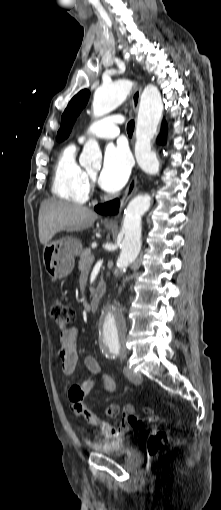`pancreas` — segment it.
I'll return each mask as SVG.
<instances>
[{
  "instance_id": "1",
  "label": "pancreas",
  "mask_w": 221,
  "mask_h": 510,
  "mask_svg": "<svg viewBox=\"0 0 221 510\" xmlns=\"http://www.w3.org/2000/svg\"><path fill=\"white\" fill-rule=\"evenodd\" d=\"M91 256H92V254H91V250L89 248H86L79 253L80 260H79L78 264H79L80 270H83V269L89 270L90 269L91 263H90L89 259Z\"/></svg>"
}]
</instances>
